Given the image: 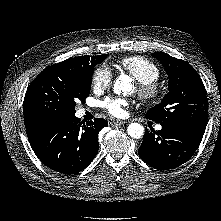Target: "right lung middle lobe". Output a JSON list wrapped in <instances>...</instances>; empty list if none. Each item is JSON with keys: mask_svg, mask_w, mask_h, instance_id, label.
Returning <instances> with one entry per match:
<instances>
[{"mask_svg": "<svg viewBox=\"0 0 221 221\" xmlns=\"http://www.w3.org/2000/svg\"><path fill=\"white\" fill-rule=\"evenodd\" d=\"M108 54L93 56L85 69L75 70L61 64L44 69L27 88L23 113L41 115L75 114L76 103L90 94L94 66Z\"/></svg>", "mask_w": 221, "mask_h": 221, "instance_id": "right-lung-middle-lobe-1", "label": "right lung middle lobe"}]
</instances>
